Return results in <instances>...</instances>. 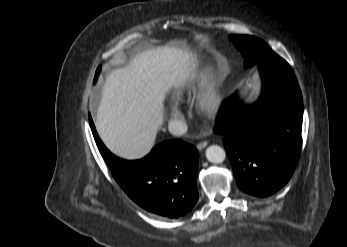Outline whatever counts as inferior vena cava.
I'll return each mask as SVG.
<instances>
[{"label":"inferior vena cava","instance_id":"602c4592","mask_svg":"<svg viewBox=\"0 0 347 247\" xmlns=\"http://www.w3.org/2000/svg\"><path fill=\"white\" fill-rule=\"evenodd\" d=\"M188 126L184 120L173 119L169 121L168 130L172 135L181 136L187 132Z\"/></svg>","mask_w":347,"mask_h":247}]
</instances>
